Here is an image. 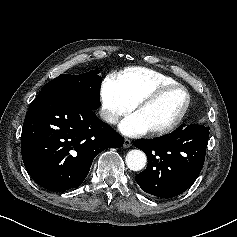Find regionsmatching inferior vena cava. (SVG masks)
<instances>
[{"instance_id":"inferior-vena-cava-1","label":"inferior vena cava","mask_w":237,"mask_h":237,"mask_svg":"<svg viewBox=\"0 0 237 237\" xmlns=\"http://www.w3.org/2000/svg\"><path fill=\"white\" fill-rule=\"evenodd\" d=\"M99 114L100 117L108 123L115 124L118 122V116L109 110L101 109Z\"/></svg>"}]
</instances>
